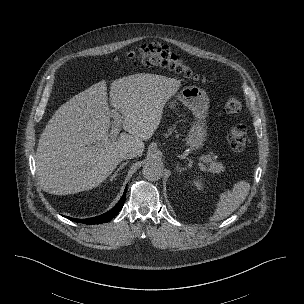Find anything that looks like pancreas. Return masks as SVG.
<instances>
[{"label": "pancreas", "mask_w": 304, "mask_h": 304, "mask_svg": "<svg viewBox=\"0 0 304 304\" xmlns=\"http://www.w3.org/2000/svg\"><path fill=\"white\" fill-rule=\"evenodd\" d=\"M215 160H216L215 155H207L205 157V161L210 162V165H211V168H212L213 171L220 170L221 167H222L221 163H217V162H215Z\"/></svg>", "instance_id": "pancreas-1"}]
</instances>
